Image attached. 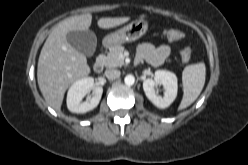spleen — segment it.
I'll return each instance as SVG.
<instances>
[{
	"mask_svg": "<svg viewBox=\"0 0 248 165\" xmlns=\"http://www.w3.org/2000/svg\"><path fill=\"white\" fill-rule=\"evenodd\" d=\"M205 76L206 67L203 62L184 68L182 73L184 94L178 110L187 108L198 98L205 84Z\"/></svg>",
	"mask_w": 248,
	"mask_h": 165,
	"instance_id": "obj_1",
	"label": "spleen"
}]
</instances>
